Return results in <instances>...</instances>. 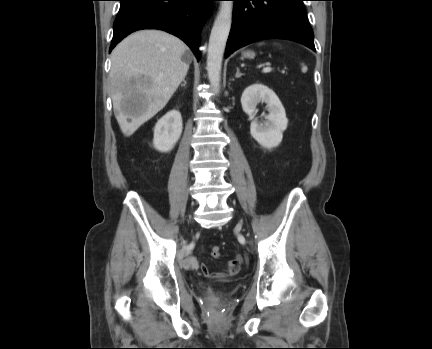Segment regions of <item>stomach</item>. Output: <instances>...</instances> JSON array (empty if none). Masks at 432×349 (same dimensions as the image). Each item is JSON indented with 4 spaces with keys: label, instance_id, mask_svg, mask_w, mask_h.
<instances>
[{
    "label": "stomach",
    "instance_id": "stomach-1",
    "mask_svg": "<svg viewBox=\"0 0 432 349\" xmlns=\"http://www.w3.org/2000/svg\"><path fill=\"white\" fill-rule=\"evenodd\" d=\"M242 55H243V57H245V58L252 59V58H254L255 53L252 52V51H244V52L242 53Z\"/></svg>",
    "mask_w": 432,
    "mask_h": 349
}]
</instances>
